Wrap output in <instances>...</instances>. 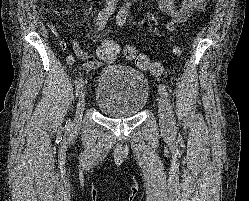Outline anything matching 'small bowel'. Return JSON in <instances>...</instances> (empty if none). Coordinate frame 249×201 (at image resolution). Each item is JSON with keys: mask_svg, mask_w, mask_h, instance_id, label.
Listing matches in <instances>:
<instances>
[{"mask_svg": "<svg viewBox=\"0 0 249 201\" xmlns=\"http://www.w3.org/2000/svg\"><path fill=\"white\" fill-rule=\"evenodd\" d=\"M207 0H158V8L168 18L167 25L169 30H174L179 23L185 22L193 12L202 11ZM52 34L59 39L60 48L66 50V42L59 38L57 28L54 24H49ZM100 30V29H98ZM76 60L83 61L80 67L83 70H92L99 66V61L94 54L82 49L78 41H74L72 52L66 56V61L69 65H74Z\"/></svg>", "mask_w": 249, "mask_h": 201, "instance_id": "obj_1", "label": "small bowel"}]
</instances>
